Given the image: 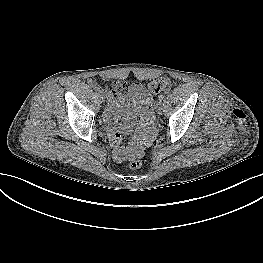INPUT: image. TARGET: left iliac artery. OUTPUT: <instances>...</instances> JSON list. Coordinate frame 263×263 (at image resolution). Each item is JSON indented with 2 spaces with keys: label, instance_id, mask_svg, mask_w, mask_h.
Masks as SVG:
<instances>
[{
  "label": "left iliac artery",
  "instance_id": "1",
  "mask_svg": "<svg viewBox=\"0 0 263 263\" xmlns=\"http://www.w3.org/2000/svg\"><path fill=\"white\" fill-rule=\"evenodd\" d=\"M158 96H161L162 98H164L166 96V93L164 91H160L158 93Z\"/></svg>",
  "mask_w": 263,
  "mask_h": 263
}]
</instances>
